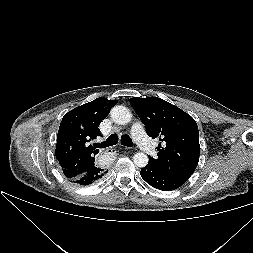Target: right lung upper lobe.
<instances>
[{
	"instance_id": "1",
	"label": "right lung upper lobe",
	"mask_w": 253,
	"mask_h": 253,
	"mask_svg": "<svg viewBox=\"0 0 253 253\" xmlns=\"http://www.w3.org/2000/svg\"><path fill=\"white\" fill-rule=\"evenodd\" d=\"M117 102L100 97L71 110L63 117L55 155L69 180L86 174L96 166L95 155L99 151L90 141L100 135L98 126Z\"/></svg>"
}]
</instances>
